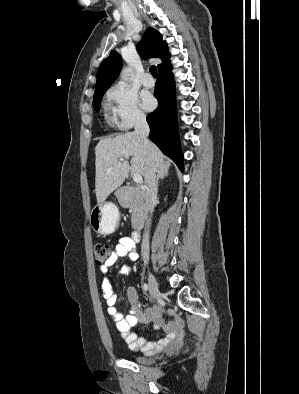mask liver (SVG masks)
Segmentation results:
<instances>
[{
    "label": "liver",
    "instance_id": "obj_1",
    "mask_svg": "<svg viewBox=\"0 0 299 394\" xmlns=\"http://www.w3.org/2000/svg\"><path fill=\"white\" fill-rule=\"evenodd\" d=\"M150 153L156 168H169L163 153L151 143ZM95 192L98 203H102L119 186L129 173H139L144 178L147 170V150L135 132L119 134L101 139L95 147ZM131 157V165L121 158Z\"/></svg>",
    "mask_w": 299,
    "mask_h": 394
}]
</instances>
